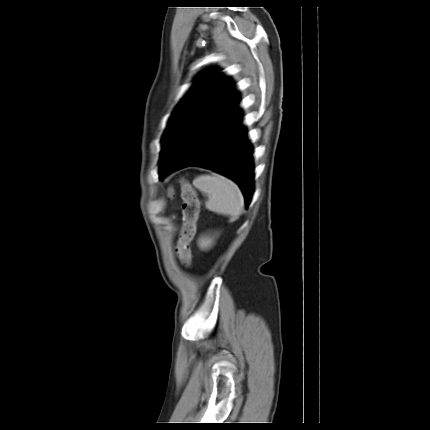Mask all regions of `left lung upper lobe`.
Here are the masks:
<instances>
[{"instance_id": "1", "label": "left lung upper lobe", "mask_w": 430, "mask_h": 430, "mask_svg": "<svg viewBox=\"0 0 430 430\" xmlns=\"http://www.w3.org/2000/svg\"><path fill=\"white\" fill-rule=\"evenodd\" d=\"M239 97L228 77L212 70L196 84L178 105L163 136L162 163L190 137L197 124L209 115L235 119L240 116Z\"/></svg>"}]
</instances>
